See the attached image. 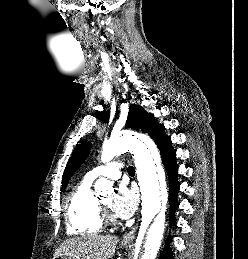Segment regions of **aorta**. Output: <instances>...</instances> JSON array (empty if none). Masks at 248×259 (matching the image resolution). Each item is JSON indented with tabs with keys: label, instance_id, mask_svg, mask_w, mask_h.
Instances as JSON below:
<instances>
[{
	"label": "aorta",
	"instance_id": "aorta-1",
	"mask_svg": "<svg viewBox=\"0 0 248 259\" xmlns=\"http://www.w3.org/2000/svg\"><path fill=\"white\" fill-rule=\"evenodd\" d=\"M126 151L133 153L141 192L142 223L138 243L142 242V238L146 234L141 259H155L163 238L168 197L160 153L149 137L123 134L112 136L104 142L101 160L104 163L109 162L114 156ZM111 188L112 183L105 178H99L95 183L98 193ZM139 248L140 244L136 246V254H138Z\"/></svg>",
	"mask_w": 248,
	"mask_h": 259
}]
</instances>
